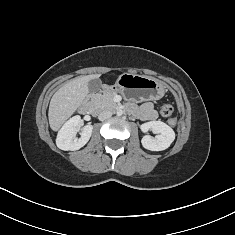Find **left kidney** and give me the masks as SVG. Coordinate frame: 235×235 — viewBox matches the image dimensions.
<instances>
[{
    "mask_svg": "<svg viewBox=\"0 0 235 235\" xmlns=\"http://www.w3.org/2000/svg\"><path fill=\"white\" fill-rule=\"evenodd\" d=\"M142 132L152 130L158 135L156 138L150 135L143 136L141 143L145 149L151 151H162L167 149L175 139V133L173 129L161 121H150L140 126Z\"/></svg>",
    "mask_w": 235,
    "mask_h": 235,
    "instance_id": "obj_1",
    "label": "left kidney"
}]
</instances>
